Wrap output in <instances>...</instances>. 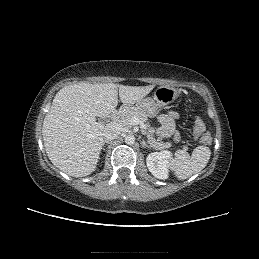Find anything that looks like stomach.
I'll list each match as a JSON object with an SVG mask.
<instances>
[{
    "label": "stomach",
    "instance_id": "0dacf381",
    "mask_svg": "<svg viewBox=\"0 0 259 259\" xmlns=\"http://www.w3.org/2000/svg\"><path fill=\"white\" fill-rule=\"evenodd\" d=\"M180 93L181 90L178 88L160 86L155 90L153 98L147 97L141 99L127 108H136L143 111L148 116H155L160 112L163 106L173 102Z\"/></svg>",
    "mask_w": 259,
    "mask_h": 259
}]
</instances>
